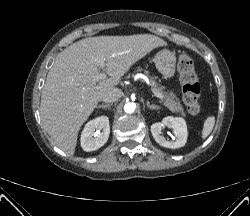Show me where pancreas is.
Masks as SVG:
<instances>
[{
	"label": "pancreas",
	"instance_id": "1",
	"mask_svg": "<svg viewBox=\"0 0 250 216\" xmlns=\"http://www.w3.org/2000/svg\"><path fill=\"white\" fill-rule=\"evenodd\" d=\"M136 71H142V68H137ZM145 74L148 75V72L145 71ZM150 84L152 86V88L156 91H158L159 93L162 94L163 98L160 99L161 102L163 103V105L165 107H167L171 112L173 113H178L182 116H185V112L183 110V107L179 101V99L176 97V95L172 92L170 93H166L163 92V90L165 89L164 86H160L153 78H150Z\"/></svg>",
	"mask_w": 250,
	"mask_h": 216
}]
</instances>
